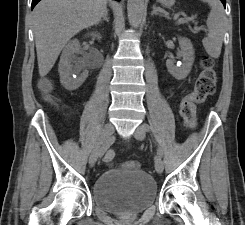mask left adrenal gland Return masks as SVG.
I'll return each mask as SVG.
<instances>
[{
	"mask_svg": "<svg viewBox=\"0 0 245 225\" xmlns=\"http://www.w3.org/2000/svg\"><path fill=\"white\" fill-rule=\"evenodd\" d=\"M151 15H159V16H163V14L159 13L156 6H153V11L151 12Z\"/></svg>",
	"mask_w": 245,
	"mask_h": 225,
	"instance_id": "a2214340",
	"label": "left adrenal gland"
}]
</instances>
